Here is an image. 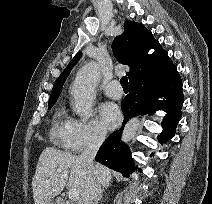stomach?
<instances>
[{"label":"stomach","instance_id":"obj_1","mask_svg":"<svg viewBox=\"0 0 212 204\" xmlns=\"http://www.w3.org/2000/svg\"><path fill=\"white\" fill-rule=\"evenodd\" d=\"M47 204H60L57 200H50Z\"/></svg>","mask_w":212,"mask_h":204}]
</instances>
